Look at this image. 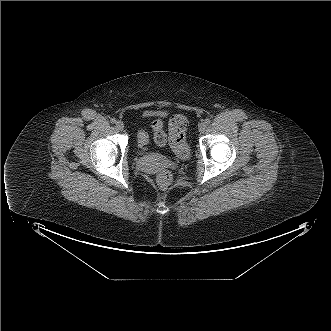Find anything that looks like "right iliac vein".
<instances>
[{"instance_id":"obj_1","label":"right iliac vein","mask_w":331,"mask_h":331,"mask_svg":"<svg viewBox=\"0 0 331 331\" xmlns=\"http://www.w3.org/2000/svg\"><path fill=\"white\" fill-rule=\"evenodd\" d=\"M116 128L120 131H122L124 129V123L122 121H118L116 123Z\"/></svg>"}]
</instances>
